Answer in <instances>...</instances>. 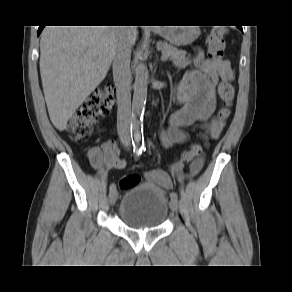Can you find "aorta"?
<instances>
[{
    "label": "aorta",
    "instance_id": "1",
    "mask_svg": "<svg viewBox=\"0 0 292 292\" xmlns=\"http://www.w3.org/2000/svg\"><path fill=\"white\" fill-rule=\"evenodd\" d=\"M137 59L138 62L135 67L134 93L132 101L131 131L133 133L135 143H140L149 75L141 53L137 54Z\"/></svg>",
    "mask_w": 292,
    "mask_h": 292
}]
</instances>
